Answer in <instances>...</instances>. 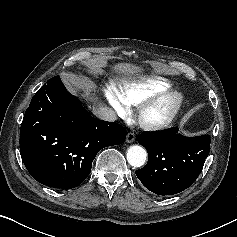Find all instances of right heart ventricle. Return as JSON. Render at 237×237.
I'll return each mask as SVG.
<instances>
[{
    "label": "right heart ventricle",
    "mask_w": 237,
    "mask_h": 237,
    "mask_svg": "<svg viewBox=\"0 0 237 237\" xmlns=\"http://www.w3.org/2000/svg\"><path fill=\"white\" fill-rule=\"evenodd\" d=\"M171 85L158 77H147L131 82H122L118 94L130 105L139 104L169 90Z\"/></svg>",
    "instance_id": "1"
}]
</instances>
